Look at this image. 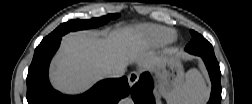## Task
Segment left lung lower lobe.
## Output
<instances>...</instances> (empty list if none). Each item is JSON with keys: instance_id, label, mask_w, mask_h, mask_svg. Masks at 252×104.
<instances>
[{"instance_id": "obj_1", "label": "left lung lower lobe", "mask_w": 252, "mask_h": 104, "mask_svg": "<svg viewBox=\"0 0 252 104\" xmlns=\"http://www.w3.org/2000/svg\"><path fill=\"white\" fill-rule=\"evenodd\" d=\"M186 50V48H185ZM208 70L211 82L212 91L210 100L207 104H220L221 101V72L219 63L216 57L200 56ZM153 81L148 72L143 73L138 82L131 88V96L135 104H155V99L152 93Z\"/></svg>"}]
</instances>
